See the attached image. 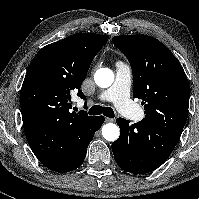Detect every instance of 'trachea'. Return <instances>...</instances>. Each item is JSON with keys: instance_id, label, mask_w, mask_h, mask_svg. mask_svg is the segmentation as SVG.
Listing matches in <instances>:
<instances>
[{"instance_id": "obj_1", "label": "trachea", "mask_w": 199, "mask_h": 199, "mask_svg": "<svg viewBox=\"0 0 199 199\" xmlns=\"http://www.w3.org/2000/svg\"><path fill=\"white\" fill-rule=\"evenodd\" d=\"M90 115L103 114L106 117L113 118L115 116L114 111L111 107H102L100 105H94L89 109Z\"/></svg>"}]
</instances>
